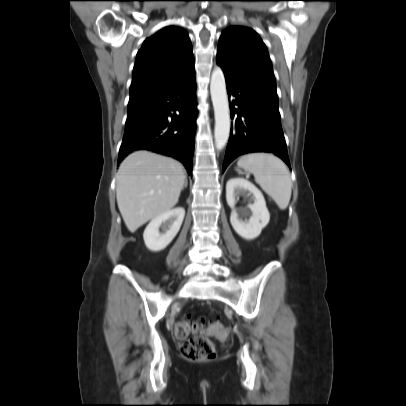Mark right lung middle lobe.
<instances>
[{"mask_svg": "<svg viewBox=\"0 0 406 406\" xmlns=\"http://www.w3.org/2000/svg\"><path fill=\"white\" fill-rule=\"evenodd\" d=\"M143 116L144 112L139 104L128 106V117L125 125H131L139 121Z\"/></svg>", "mask_w": 406, "mask_h": 406, "instance_id": "dd1d6c3e", "label": "right lung middle lobe"}]
</instances>
